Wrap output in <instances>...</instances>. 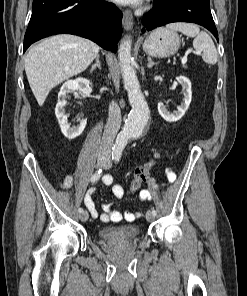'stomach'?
Returning <instances> with one entry per match:
<instances>
[{
  "instance_id": "1",
  "label": "stomach",
  "mask_w": 247,
  "mask_h": 296,
  "mask_svg": "<svg viewBox=\"0 0 247 296\" xmlns=\"http://www.w3.org/2000/svg\"><path fill=\"white\" fill-rule=\"evenodd\" d=\"M179 35L166 28L154 30L144 41L143 50L152 57H170L180 48Z\"/></svg>"
}]
</instances>
